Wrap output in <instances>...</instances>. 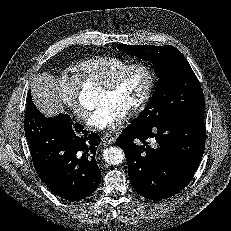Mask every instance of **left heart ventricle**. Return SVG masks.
Instances as JSON below:
<instances>
[{"mask_svg":"<svg viewBox=\"0 0 231 231\" xmlns=\"http://www.w3.org/2000/svg\"><path fill=\"white\" fill-rule=\"evenodd\" d=\"M146 83L147 76L143 70H131L114 91L99 90L98 104L109 102L125 114L141 97Z\"/></svg>","mask_w":231,"mask_h":231,"instance_id":"obj_1","label":"left heart ventricle"}]
</instances>
